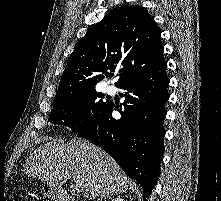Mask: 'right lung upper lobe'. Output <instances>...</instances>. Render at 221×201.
Wrapping results in <instances>:
<instances>
[{
    "label": "right lung upper lobe",
    "mask_w": 221,
    "mask_h": 201,
    "mask_svg": "<svg viewBox=\"0 0 221 201\" xmlns=\"http://www.w3.org/2000/svg\"><path fill=\"white\" fill-rule=\"evenodd\" d=\"M163 60L160 32L153 18L143 7L123 6L106 15L77 42L55 97L95 89L109 72L121 68L118 86Z\"/></svg>",
    "instance_id": "obj_1"
}]
</instances>
